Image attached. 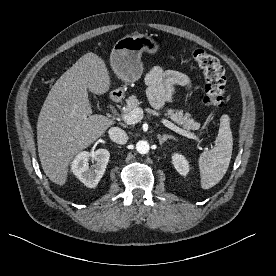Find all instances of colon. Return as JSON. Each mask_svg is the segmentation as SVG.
Masks as SVG:
<instances>
[{"instance_id":"colon-1","label":"colon","mask_w":276,"mask_h":276,"mask_svg":"<svg viewBox=\"0 0 276 276\" xmlns=\"http://www.w3.org/2000/svg\"><path fill=\"white\" fill-rule=\"evenodd\" d=\"M190 55L204 75V104L213 109H220L225 102V77L220 62L203 49L196 47L190 49Z\"/></svg>"}]
</instances>
